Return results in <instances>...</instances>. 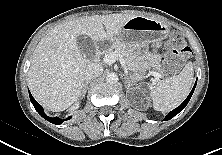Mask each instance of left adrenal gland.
I'll return each instance as SVG.
<instances>
[{
  "label": "left adrenal gland",
  "mask_w": 222,
  "mask_h": 155,
  "mask_svg": "<svg viewBox=\"0 0 222 155\" xmlns=\"http://www.w3.org/2000/svg\"><path fill=\"white\" fill-rule=\"evenodd\" d=\"M124 79H125V82H126L127 86L129 87V79L127 77H125Z\"/></svg>",
  "instance_id": "1"
}]
</instances>
